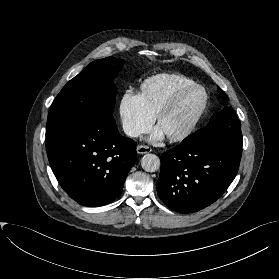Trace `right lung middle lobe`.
<instances>
[{
	"instance_id": "right-lung-middle-lobe-1",
	"label": "right lung middle lobe",
	"mask_w": 279,
	"mask_h": 279,
	"mask_svg": "<svg viewBox=\"0 0 279 279\" xmlns=\"http://www.w3.org/2000/svg\"><path fill=\"white\" fill-rule=\"evenodd\" d=\"M124 60L107 57L90 63L71 79L55 98L49 111L46 137L89 116L113 119L117 76Z\"/></svg>"
}]
</instances>
